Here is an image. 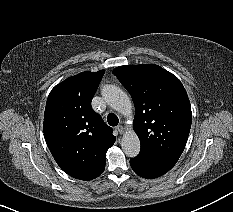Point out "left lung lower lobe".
I'll return each instance as SVG.
<instances>
[{"label": "left lung lower lobe", "mask_w": 233, "mask_h": 212, "mask_svg": "<svg viewBox=\"0 0 233 212\" xmlns=\"http://www.w3.org/2000/svg\"><path fill=\"white\" fill-rule=\"evenodd\" d=\"M130 165L139 176L153 179L164 175L173 168L175 163L162 160L147 152H140L138 156L130 159Z\"/></svg>", "instance_id": "0a47b994"}]
</instances>
